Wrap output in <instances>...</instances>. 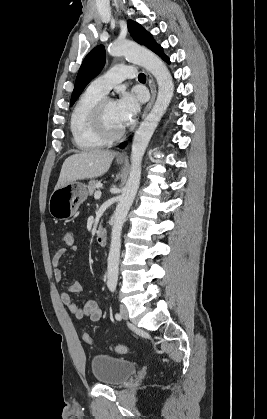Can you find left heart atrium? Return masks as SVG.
<instances>
[{
	"instance_id": "left-heart-atrium-1",
	"label": "left heart atrium",
	"mask_w": 267,
	"mask_h": 419,
	"mask_svg": "<svg viewBox=\"0 0 267 419\" xmlns=\"http://www.w3.org/2000/svg\"><path fill=\"white\" fill-rule=\"evenodd\" d=\"M119 118L123 125H128L140 109V97L134 92H124L116 101Z\"/></svg>"
}]
</instances>
